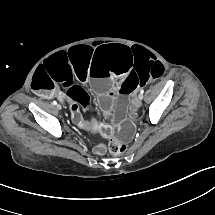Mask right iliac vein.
I'll list each match as a JSON object with an SVG mask.
<instances>
[{"label":"right iliac vein","mask_w":215,"mask_h":215,"mask_svg":"<svg viewBox=\"0 0 215 215\" xmlns=\"http://www.w3.org/2000/svg\"><path fill=\"white\" fill-rule=\"evenodd\" d=\"M56 108H57L58 110H61V105L58 104V105L56 106Z\"/></svg>","instance_id":"63e3f726"}]
</instances>
